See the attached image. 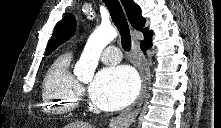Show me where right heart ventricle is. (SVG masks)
Instances as JSON below:
<instances>
[{
    "label": "right heart ventricle",
    "instance_id": "obj_1",
    "mask_svg": "<svg viewBox=\"0 0 221 128\" xmlns=\"http://www.w3.org/2000/svg\"><path fill=\"white\" fill-rule=\"evenodd\" d=\"M72 54L63 52L49 65L42 83L41 112L62 117L72 112L78 98V79L71 67Z\"/></svg>",
    "mask_w": 221,
    "mask_h": 128
}]
</instances>
